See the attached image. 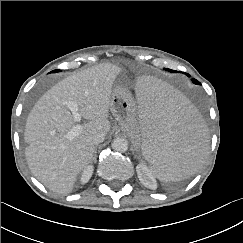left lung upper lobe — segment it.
<instances>
[{
	"label": "left lung upper lobe",
	"instance_id": "1",
	"mask_svg": "<svg viewBox=\"0 0 243 243\" xmlns=\"http://www.w3.org/2000/svg\"><path fill=\"white\" fill-rule=\"evenodd\" d=\"M166 70L169 71V72H176V71L171 70V69H166ZM192 81H193V83H195V84H199V82H198L197 80H195V79H192Z\"/></svg>",
	"mask_w": 243,
	"mask_h": 243
}]
</instances>
